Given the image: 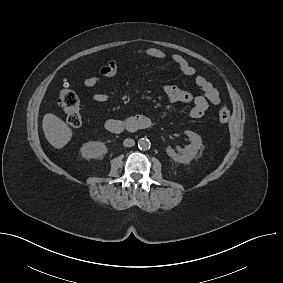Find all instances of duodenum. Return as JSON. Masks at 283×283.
Here are the masks:
<instances>
[{
	"instance_id": "1",
	"label": "duodenum",
	"mask_w": 283,
	"mask_h": 283,
	"mask_svg": "<svg viewBox=\"0 0 283 283\" xmlns=\"http://www.w3.org/2000/svg\"><path fill=\"white\" fill-rule=\"evenodd\" d=\"M152 126L151 120L144 115H132L123 119H108L105 128L113 134H120L124 131L137 132L149 129Z\"/></svg>"
}]
</instances>
